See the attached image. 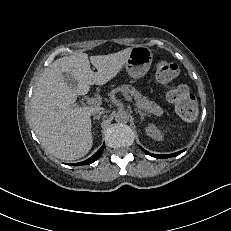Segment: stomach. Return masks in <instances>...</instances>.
<instances>
[{
  "label": "stomach",
  "mask_w": 231,
  "mask_h": 231,
  "mask_svg": "<svg viewBox=\"0 0 231 231\" xmlns=\"http://www.w3.org/2000/svg\"><path fill=\"white\" fill-rule=\"evenodd\" d=\"M153 60V53L147 46H135L132 48L125 68L133 79H140L149 71Z\"/></svg>",
  "instance_id": "0dacf381"
}]
</instances>
